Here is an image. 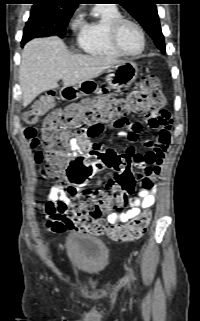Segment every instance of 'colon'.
I'll list each match as a JSON object with an SVG mask.
<instances>
[{
    "label": "colon",
    "instance_id": "colon-1",
    "mask_svg": "<svg viewBox=\"0 0 200 321\" xmlns=\"http://www.w3.org/2000/svg\"><path fill=\"white\" fill-rule=\"evenodd\" d=\"M140 88L123 98L102 96L70 105L49 113L43 126L44 152L35 153L36 162L42 164V174L47 178L67 183V197L77 203L69 208L66 219L80 231L94 235H107L114 241H134L141 238L149 225L150 212L146 211L125 225L110 227L101 218L113 209L121 210L127 203L140 175L131 166L129 159L111 151L94 150L70 159L69 138L73 135L96 137L109 126H118L128 114L160 110L165 96L160 80L155 76L145 77ZM55 96H42L23 116L26 124L25 137L32 148L40 141L37 130L30 126L55 105ZM110 169L113 177L103 189H83V186L98 171ZM45 212H54L55 207L46 204Z\"/></svg>",
    "mask_w": 200,
    "mask_h": 321
}]
</instances>
